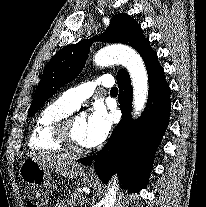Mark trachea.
<instances>
[{
    "label": "trachea",
    "instance_id": "trachea-1",
    "mask_svg": "<svg viewBox=\"0 0 206 207\" xmlns=\"http://www.w3.org/2000/svg\"><path fill=\"white\" fill-rule=\"evenodd\" d=\"M111 93H118V88L117 87H113L111 90H110Z\"/></svg>",
    "mask_w": 206,
    "mask_h": 207
}]
</instances>
